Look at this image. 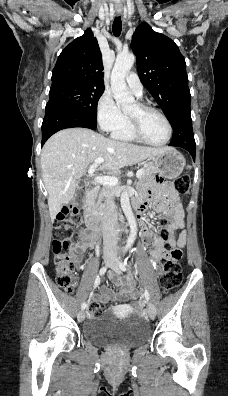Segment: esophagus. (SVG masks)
I'll use <instances>...</instances> for the list:
<instances>
[{
  "instance_id": "obj_1",
  "label": "esophagus",
  "mask_w": 228,
  "mask_h": 396,
  "mask_svg": "<svg viewBox=\"0 0 228 396\" xmlns=\"http://www.w3.org/2000/svg\"><path fill=\"white\" fill-rule=\"evenodd\" d=\"M115 12H116V15H121L122 14V8L121 7H116L115 8Z\"/></svg>"
}]
</instances>
